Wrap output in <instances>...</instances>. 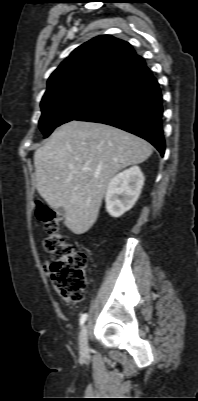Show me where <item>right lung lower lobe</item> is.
<instances>
[{
  "label": "right lung lower lobe",
  "instance_id": "1",
  "mask_svg": "<svg viewBox=\"0 0 198 401\" xmlns=\"http://www.w3.org/2000/svg\"><path fill=\"white\" fill-rule=\"evenodd\" d=\"M162 96L144 63L108 87L101 100L74 120L104 123L149 141L164 155Z\"/></svg>",
  "mask_w": 198,
  "mask_h": 401
}]
</instances>
